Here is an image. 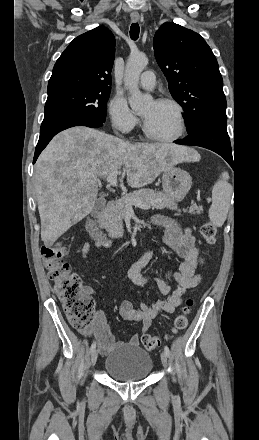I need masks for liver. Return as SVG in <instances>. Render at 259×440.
Listing matches in <instances>:
<instances>
[{
  "label": "liver",
  "instance_id": "6515ba94",
  "mask_svg": "<svg viewBox=\"0 0 259 440\" xmlns=\"http://www.w3.org/2000/svg\"><path fill=\"white\" fill-rule=\"evenodd\" d=\"M193 149L174 144L130 143L78 126L57 134L35 165L34 186L41 239L51 247L93 209L98 177L126 172L132 188L146 186L179 163L198 161Z\"/></svg>",
  "mask_w": 259,
  "mask_h": 440
}]
</instances>
